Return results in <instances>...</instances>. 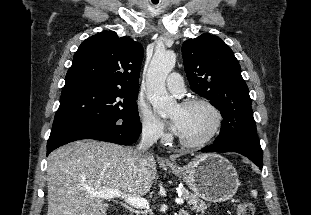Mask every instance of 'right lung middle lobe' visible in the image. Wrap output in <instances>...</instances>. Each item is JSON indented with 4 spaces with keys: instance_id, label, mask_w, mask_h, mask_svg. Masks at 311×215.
<instances>
[{
    "instance_id": "dd1d6c3e",
    "label": "right lung middle lobe",
    "mask_w": 311,
    "mask_h": 215,
    "mask_svg": "<svg viewBox=\"0 0 311 215\" xmlns=\"http://www.w3.org/2000/svg\"><path fill=\"white\" fill-rule=\"evenodd\" d=\"M138 92L94 84L64 86L53 127L74 122L131 125L139 121Z\"/></svg>"
}]
</instances>
